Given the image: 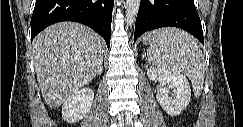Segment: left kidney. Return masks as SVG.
Here are the masks:
<instances>
[{"instance_id": "left-kidney-1", "label": "left kidney", "mask_w": 243, "mask_h": 127, "mask_svg": "<svg viewBox=\"0 0 243 127\" xmlns=\"http://www.w3.org/2000/svg\"><path fill=\"white\" fill-rule=\"evenodd\" d=\"M147 76L152 81L160 82L156 98L167 114L177 116L187 107L191 98V89L185 75L150 67Z\"/></svg>"}]
</instances>
